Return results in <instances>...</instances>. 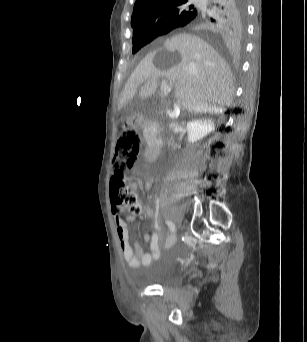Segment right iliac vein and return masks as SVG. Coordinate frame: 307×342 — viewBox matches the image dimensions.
<instances>
[{
    "mask_svg": "<svg viewBox=\"0 0 307 342\" xmlns=\"http://www.w3.org/2000/svg\"><path fill=\"white\" fill-rule=\"evenodd\" d=\"M175 241H176V236L171 235L166 241L165 248H169L171 245L175 243Z\"/></svg>",
    "mask_w": 307,
    "mask_h": 342,
    "instance_id": "63e3f726",
    "label": "right iliac vein"
}]
</instances>
